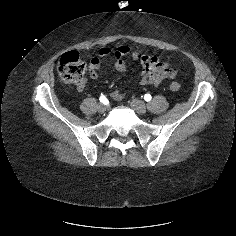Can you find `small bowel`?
<instances>
[{
    "instance_id": "small-bowel-1",
    "label": "small bowel",
    "mask_w": 236,
    "mask_h": 236,
    "mask_svg": "<svg viewBox=\"0 0 236 236\" xmlns=\"http://www.w3.org/2000/svg\"><path fill=\"white\" fill-rule=\"evenodd\" d=\"M111 54V50L103 48L100 50L97 57L91 59L89 63V74L94 80L99 79V69L102 59ZM115 57L118 59L114 65L117 72H122L128 69V65L121 60L122 57L128 56L131 61L139 62L141 68L137 72L136 83L140 86L154 85L158 86L165 79H172L176 75V69L171 65L162 62L157 56L149 54L143 48L131 49L128 46H120L114 51ZM85 84L77 86L79 91L83 90ZM112 96L115 99H120L121 94L114 92Z\"/></svg>"
}]
</instances>
